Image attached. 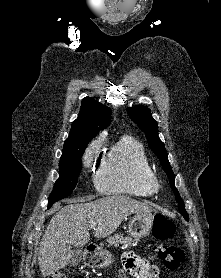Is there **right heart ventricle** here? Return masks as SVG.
<instances>
[{
    "label": "right heart ventricle",
    "instance_id": "e07e8e85",
    "mask_svg": "<svg viewBox=\"0 0 221 278\" xmlns=\"http://www.w3.org/2000/svg\"><path fill=\"white\" fill-rule=\"evenodd\" d=\"M152 165L141 142L124 136L102 157L95 173V185L103 194L146 197L151 194L147 177Z\"/></svg>",
    "mask_w": 221,
    "mask_h": 278
}]
</instances>
